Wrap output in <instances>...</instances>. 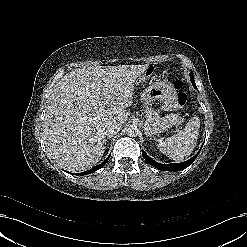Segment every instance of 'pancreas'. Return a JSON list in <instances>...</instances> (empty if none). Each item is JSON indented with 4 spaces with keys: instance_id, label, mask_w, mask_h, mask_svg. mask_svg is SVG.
<instances>
[{
    "instance_id": "pancreas-1",
    "label": "pancreas",
    "mask_w": 247,
    "mask_h": 247,
    "mask_svg": "<svg viewBox=\"0 0 247 247\" xmlns=\"http://www.w3.org/2000/svg\"><path fill=\"white\" fill-rule=\"evenodd\" d=\"M146 122L145 125L150 131H165L172 126L171 116L160 117L152 108L147 107L144 110Z\"/></svg>"
}]
</instances>
